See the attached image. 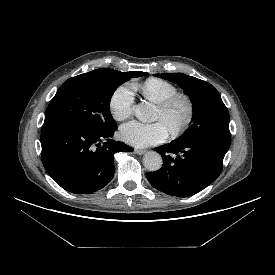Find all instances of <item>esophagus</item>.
<instances>
[{"label": "esophagus", "mask_w": 275, "mask_h": 275, "mask_svg": "<svg viewBox=\"0 0 275 275\" xmlns=\"http://www.w3.org/2000/svg\"><path fill=\"white\" fill-rule=\"evenodd\" d=\"M134 151L138 155H142V154H144L146 152V150H143V149H135Z\"/></svg>", "instance_id": "34e87169"}]
</instances>
